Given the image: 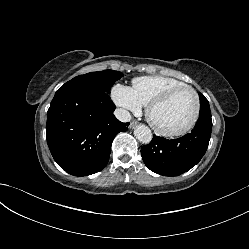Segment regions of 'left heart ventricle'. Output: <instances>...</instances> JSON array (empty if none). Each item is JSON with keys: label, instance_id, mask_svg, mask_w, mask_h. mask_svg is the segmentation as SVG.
<instances>
[{"label": "left heart ventricle", "instance_id": "obj_1", "mask_svg": "<svg viewBox=\"0 0 249 249\" xmlns=\"http://www.w3.org/2000/svg\"><path fill=\"white\" fill-rule=\"evenodd\" d=\"M195 99L188 90L175 94L169 101L154 109L153 121L160 128L174 131L183 128L192 118Z\"/></svg>", "mask_w": 249, "mask_h": 249}]
</instances>
